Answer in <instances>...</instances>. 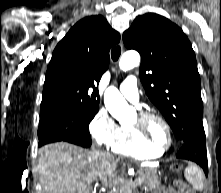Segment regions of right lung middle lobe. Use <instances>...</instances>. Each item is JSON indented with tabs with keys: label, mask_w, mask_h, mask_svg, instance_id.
I'll return each instance as SVG.
<instances>
[{
	"label": "right lung middle lobe",
	"mask_w": 221,
	"mask_h": 193,
	"mask_svg": "<svg viewBox=\"0 0 221 193\" xmlns=\"http://www.w3.org/2000/svg\"><path fill=\"white\" fill-rule=\"evenodd\" d=\"M99 108H51L40 111L39 146L67 141L84 147L91 145L89 123Z\"/></svg>",
	"instance_id": "dd1d6c3e"
}]
</instances>
